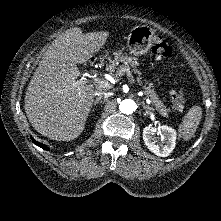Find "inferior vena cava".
<instances>
[{
    "instance_id": "1",
    "label": "inferior vena cava",
    "mask_w": 221,
    "mask_h": 221,
    "mask_svg": "<svg viewBox=\"0 0 221 221\" xmlns=\"http://www.w3.org/2000/svg\"><path fill=\"white\" fill-rule=\"evenodd\" d=\"M95 95L100 96L99 98L101 99V97L104 96L105 93L101 91H95Z\"/></svg>"
}]
</instances>
